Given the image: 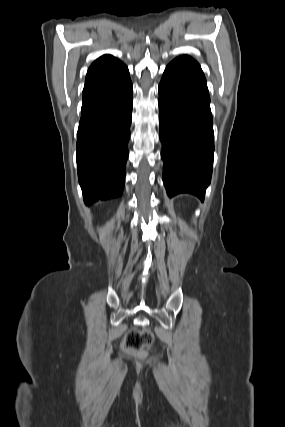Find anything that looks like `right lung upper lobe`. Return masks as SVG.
Segmentation results:
<instances>
[{
	"label": "right lung upper lobe",
	"mask_w": 285,
	"mask_h": 427,
	"mask_svg": "<svg viewBox=\"0 0 285 427\" xmlns=\"http://www.w3.org/2000/svg\"><path fill=\"white\" fill-rule=\"evenodd\" d=\"M125 65L119 59L106 54L96 59L88 69L85 84L108 77Z\"/></svg>",
	"instance_id": "1"
}]
</instances>
